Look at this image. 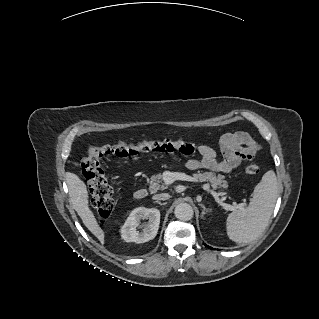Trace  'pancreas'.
<instances>
[{"mask_svg": "<svg viewBox=\"0 0 319 319\" xmlns=\"http://www.w3.org/2000/svg\"><path fill=\"white\" fill-rule=\"evenodd\" d=\"M162 177L163 175L161 173L159 174H154L150 178V191L151 192H156L159 189H164L165 186L162 184ZM193 177L200 180L201 182L204 181H209L213 189H218V188H227L228 183L225 180V177L223 175H216L213 172H197L193 174Z\"/></svg>", "mask_w": 319, "mask_h": 319, "instance_id": "cf45deb5", "label": "pancreas"}]
</instances>
